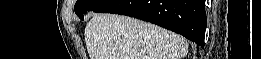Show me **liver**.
Wrapping results in <instances>:
<instances>
[{"label": "liver", "instance_id": "6515ba94", "mask_svg": "<svg viewBox=\"0 0 261 59\" xmlns=\"http://www.w3.org/2000/svg\"><path fill=\"white\" fill-rule=\"evenodd\" d=\"M84 35L90 59H182L188 52L182 36L121 15L95 14Z\"/></svg>", "mask_w": 261, "mask_h": 59}]
</instances>
